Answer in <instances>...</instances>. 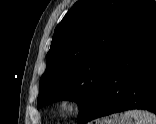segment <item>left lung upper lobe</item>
Listing matches in <instances>:
<instances>
[{"mask_svg":"<svg viewBox=\"0 0 156 124\" xmlns=\"http://www.w3.org/2000/svg\"><path fill=\"white\" fill-rule=\"evenodd\" d=\"M156 13L153 0H79L55 29L37 108L74 100L88 114L115 63Z\"/></svg>","mask_w":156,"mask_h":124,"instance_id":"left-lung-upper-lobe-1","label":"left lung upper lobe"}]
</instances>
